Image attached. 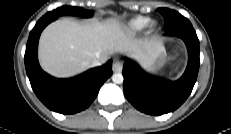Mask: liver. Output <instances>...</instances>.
I'll return each instance as SVG.
<instances>
[{
  "mask_svg": "<svg viewBox=\"0 0 231 134\" xmlns=\"http://www.w3.org/2000/svg\"><path fill=\"white\" fill-rule=\"evenodd\" d=\"M162 50L160 41L134 39L116 19L85 24L62 19L51 23L42 32L39 59L48 73L70 77L90 68L95 59L106 61L108 55L116 51L145 63Z\"/></svg>",
  "mask_w": 231,
  "mask_h": 134,
  "instance_id": "6515ba94",
  "label": "liver"
}]
</instances>
